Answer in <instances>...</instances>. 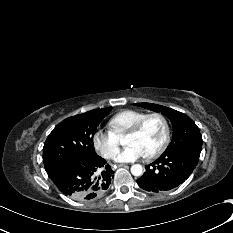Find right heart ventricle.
Instances as JSON below:
<instances>
[{"label":"right heart ventricle","instance_id":"e07e8e85","mask_svg":"<svg viewBox=\"0 0 233 233\" xmlns=\"http://www.w3.org/2000/svg\"><path fill=\"white\" fill-rule=\"evenodd\" d=\"M146 112L134 109H126L115 114L109 121V125L116 136L125 133L130 127L138 122Z\"/></svg>","mask_w":233,"mask_h":233}]
</instances>
